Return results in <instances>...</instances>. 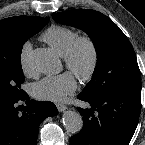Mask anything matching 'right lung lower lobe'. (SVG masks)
Listing matches in <instances>:
<instances>
[{"mask_svg":"<svg viewBox=\"0 0 145 145\" xmlns=\"http://www.w3.org/2000/svg\"><path fill=\"white\" fill-rule=\"evenodd\" d=\"M57 113L52 102L30 100L26 92L19 98H0V145H36L40 123Z\"/></svg>","mask_w":145,"mask_h":145,"instance_id":"1","label":"right lung lower lobe"}]
</instances>
